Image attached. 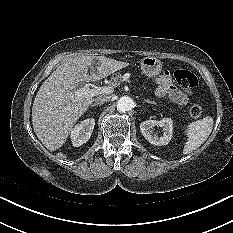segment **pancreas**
<instances>
[{
	"instance_id": "obj_1",
	"label": "pancreas",
	"mask_w": 233,
	"mask_h": 233,
	"mask_svg": "<svg viewBox=\"0 0 233 233\" xmlns=\"http://www.w3.org/2000/svg\"><path fill=\"white\" fill-rule=\"evenodd\" d=\"M120 75L118 74H116L115 76H112L111 77V79H110V84H111V86H113V87H116V86H118L119 85V83H120Z\"/></svg>"
}]
</instances>
